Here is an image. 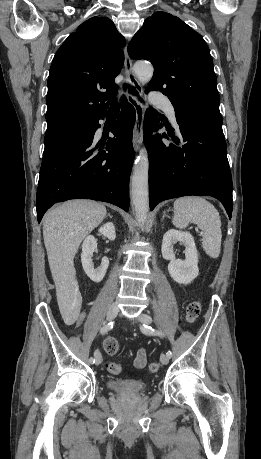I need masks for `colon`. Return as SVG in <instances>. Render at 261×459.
Segmentation results:
<instances>
[{
  "label": "colon",
  "instance_id": "colon-1",
  "mask_svg": "<svg viewBox=\"0 0 261 459\" xmlns=\"http://www.w3.org/2000/svg\"><path fill=\"white\" fill-rule=\"evenodd\" d=\"M201 313V303L199 301H192L186 307V319L189 323H193L197 320ZM103 348L107 354H116L119 350L118 341L115 338H107L103 343ZM107 370L110 373L118 374L121 372V365L118 362L111 361L106 365ZM151 373H156L160 369V365L157 362L150 363L148 367Z\"/></svg>",
  "mask_w": 261,
  "mask_h": 459
}]
</instances>
